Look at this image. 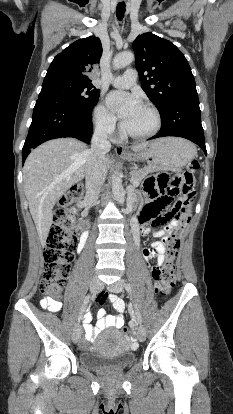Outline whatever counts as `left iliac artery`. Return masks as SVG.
Segmentation results:
<instances>
[{
  "label": "left iliac artery",
  "mask_w": 233,
  "mask_h": 414,
  "mask_svg": "<svg viewBox=\"0 0 233 414\" xmlns=\"http://www.w3.org/2000/svg\"><path fill=\"white\" fill-rule=\"evenodd\" d=\"M124 287L127 290V292L131 295L132 290H131L130 285L127 284V283H124ZM135 313H136V317H137L138 322L141 324V322H142L141 315H140V312L138 311L136 305H135Z\"/></svg>",
  "instance_id": "1"
}]
</instances>
